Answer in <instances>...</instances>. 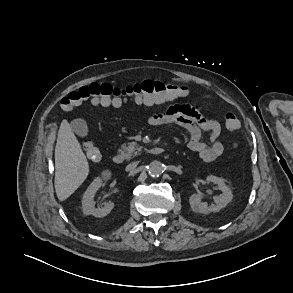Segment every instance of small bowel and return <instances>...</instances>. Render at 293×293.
Wrapping results in <instances>:
<instances>
[{
    "instance_id": "1",
    "label": "small bowel",
    "mask_w": 293,
    "mask_h": 293,
    "mask_svg": "<svg viewBox=\"0 0 293 293\" xmlns=\"http://www.w3.org/2000/svg\"><path fill=\"white\" fill-rule=\"evenodd\" d=\"M136 102L145 106H153L164 101H153L144 98L138 99ZM148 123L153 127L176 125L185 129L188 134L187 146L189 150L197 154L205 162H212L223 153L224 147L219 140L221 133L219 123L203 117L200 110L194 105L174 104L165 112L152 115ZM203 131L209 134L207 143L201 140Z\"/></svg>"
}]
</instances>
